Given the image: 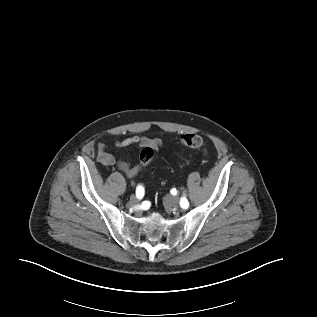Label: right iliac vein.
I'll list each match as a JSON object with an SVG mask.
<instances>
[{"mask_svg": "<svg viewBox=\"0 0 317 317\" xmlns=\"http://www.w3.org/2000/svg\"><path fill=\"white\" fill-rule=\"evenodd\" d=\"M130 201H131V203H137V202L139 201V199L137 198V196L132 195V196L130 197Z\"/></svg>", "mask_w": 317, "mask_h": 317, "instance_id": "obj_1", "label": "right iliac vein"}]
</instances>
